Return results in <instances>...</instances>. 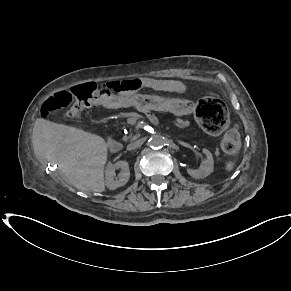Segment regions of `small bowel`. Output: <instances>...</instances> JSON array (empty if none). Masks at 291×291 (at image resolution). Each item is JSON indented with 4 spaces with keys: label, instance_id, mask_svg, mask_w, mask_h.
I'll return each mask as SVG.
<instances>
[{
    "label": "small bowel",
    "instance_id": "1",
    "mask_svg": "<svg viewBox=\"0 0 291 291\" xmlns=\"http://www.w3.org/2000/svg\"><path fill=\"white\" fill-rule=\"evenodd\" d=\"M125 82L130 89L126 92L129 93L132 97L136 96L137 92L142 88H149L158 91L174 92L182 94L186 90V86L176 80H166V79H154V78H142V79H128L123 81ZM108 106V105H107ZM109 107V106H108ZM119 108H122L121 106ZM151 116V112H145ZM171 113V112H167Z\"/></svg>",
    "mask_w": 291,
    "mask_h": 291
}]
</instances>
